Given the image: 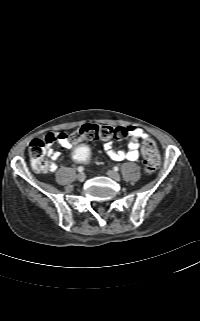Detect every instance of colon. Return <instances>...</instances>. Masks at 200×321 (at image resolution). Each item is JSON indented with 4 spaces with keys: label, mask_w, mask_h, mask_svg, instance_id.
Segmentation results:
<instances>
[{
    "label": "colon",
    "mask_w": 200,
    "mask_h": 321,
    "mask_svg": "<svg viewBox=\"0 0 200 321\" xmlns=\"http://www.w3.org/2000/svg\"><path fill=\"white\" fill-rule=\"evenodd\" d=\"M126 131L121 127H111L105 125L86 124L76 129L69 136L74 143L83 140H109L123 139ZM55 137L51 134L43 139H34L29 145V155L32 167L37 172H47L50 168V161L47 158V144L51 143ZM90 157V149L86 143H77L71 147L70 161L75 166H80ZM142 158L146 173L154 172L160 163V155L155 143L151 140L145 141L142 145Z\"/></svg>",
    "instance_id": "1"
}]
</instances>
